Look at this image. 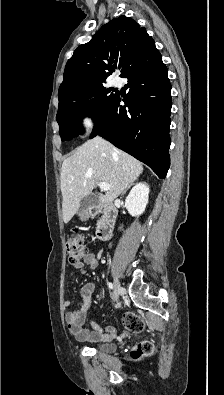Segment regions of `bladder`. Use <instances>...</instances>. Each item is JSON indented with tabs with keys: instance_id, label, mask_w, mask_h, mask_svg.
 Returning <instances> with one entry per match:
<instances>
[{
	"instance_id": "31cf9c89",
	"label": "bladder",
	"mask_w": 224,
	"mask_h": 395,
	"mask_svg": "<svg viewBox=\"0 0 224 395\" xmlns=\"http://www.w3.org/2000/svg\"><path fill=\"white\" fill-rule=\"evenodd\" d=\"M93 348L100 352L112 353L115 351L116 345L112 343H96L93 345Z\"/></svg>"
}]
</instances>
